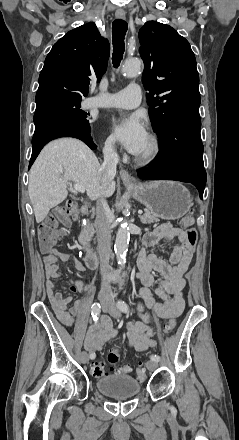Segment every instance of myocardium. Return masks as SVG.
<instances>
[{"instance_id": "1", "label": "myocardium", "mask_w": 239, "mask_h": 440, "mask_svg": "<svg viewBox=\"0 0 239 440\" xmlns=\"http://www.w3.org/2000/svg\"><path fill=\"white\" fill-rule=\"evenodd\" d=\"M149 148L145 153L135 156V160L138 164L147 166L155 163L161 155L162 145L159 138L155 134H150Z\"/></svg>"}]
</instances>
